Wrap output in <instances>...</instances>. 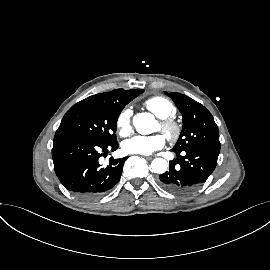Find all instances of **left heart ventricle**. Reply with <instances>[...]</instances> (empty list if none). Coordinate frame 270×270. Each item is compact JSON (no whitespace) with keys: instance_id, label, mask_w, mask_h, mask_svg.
Returning a JSON list of instances; mask_svg holds the SVG:
<instances>
[{"instance_id":"obj_1","label":"left heart ventricle","mask_w":270,"mask_h":270,"mask_svg":"<svg viewBox=\"0 0 270 270\" xmlns=\"http://www.w3.org/2000/svg\"><path fill=\"white\" fill-rule=\"evenodd\" d=\"M157 129L160 130V125L158 124Z\"/></svg>"}]
</instances>
